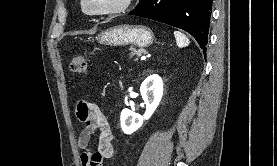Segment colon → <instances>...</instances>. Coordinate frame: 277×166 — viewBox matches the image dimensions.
<instances>
[{
  "instance_id": "1",
  "label": "colon",
  "mask_w": 277,
  "mask_h": 166,
  "mask_svg": "<svg viewBox=\"0 0 277 166\" xmlns=\"http://www.w3.org/2000/svg\"><path fill=\"white\" fill-rule=\"evenodd\" d=\"M88 69L87 58L84 54H77L70 63V70L76 74H85Z\"/></svg>"
}]
</instances>
